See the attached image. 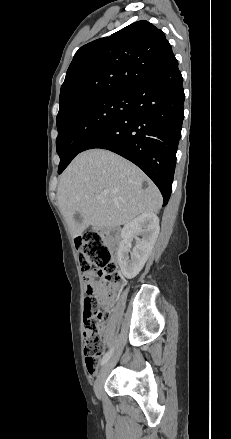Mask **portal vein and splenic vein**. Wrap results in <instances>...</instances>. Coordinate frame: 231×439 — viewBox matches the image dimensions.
<instances>
[{
    "label": "portal vein and splenic vein",
    "instance_id": "portal-vein-and-splenic-vein-1",
    "mask_svg": "<svg viewBox=\"0 0 231 439\" xmlns=\"http://www.w3.org/2000/svg\"><path fill=\"white\" fill-rule=\"evenodd\" d=\"M96 198H97L98 200H101V199H102V195H97Z\"/></svg>",
    "mask_w": 231,
    "mask_h": 439
}]
</instances>
